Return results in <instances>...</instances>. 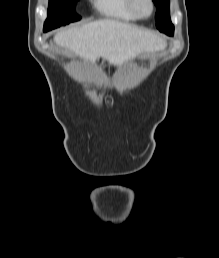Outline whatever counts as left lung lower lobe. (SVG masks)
Segmentation results:
<instances>
[{
	"instance_id": "0a47b994",
	"label": "left lung lower lobe",
	"mask_w": 219,
	"mask_h": 258,
	"mask_svg": "<svg viewBox=\"0 0 219 258\" xmlns=\"http://www.w3.org/2000/svg\"><path fill=\"white\" fill-rule=\"evenodd\" d=\"M167 35H170V36H172V35H173V33H172V34H167Z\"/></svg>"
}]
</instances>
